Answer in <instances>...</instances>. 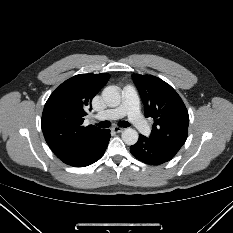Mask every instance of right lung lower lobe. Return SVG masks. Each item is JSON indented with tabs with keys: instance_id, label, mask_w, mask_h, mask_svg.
<instances>
[{
	"instance_id": "98d812e1",
	"label": "right lung lower lobe",
	"mask_w": 233,
	"mask_h": 233,
	"mask_svg": "<svg viewBox=\"0 0 233 233\" xmlns=\"http://www.w3.org/2000/svg\"><path fill=\"white\" fill-rule=\"evenodd\" d=\"M110 140V130H101L90 138L76 152L60 159L65 164L74 167H85L99 160L104 154Z\"/></svg>"
}]
</instances>
